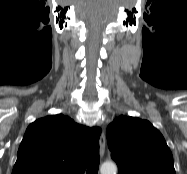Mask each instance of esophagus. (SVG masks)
<instances>
[{
	"label": "esophagus",
	"instance_id": "1",
	"mask_svg": "<svg viewBox=\"0 0 187 174\" xmlns=\"http://www.w3.org/2000/svg\"><path fill=\"white\" fill-rule=\"evenodd\" d=\"M99 151H100V155L103 156L105 153V134L103 131L99 138Z\"/></svg>",
	"mask_w": 187,
	"mask_h": 174
}]
</instances>
